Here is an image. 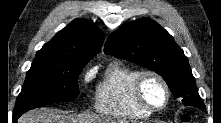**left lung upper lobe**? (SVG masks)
I'll return each mask as SVG.
<instances>
[{
    "label": "left lung upper lobe",
    "instance_id": "5c2ea615",
    "mask_svg": "<svg viewBox=\"0 0 221 123\" xmlns=\"http://www.w3.org/2000/svg\"><path fill=\"white\" fill-rule=\"evenodd\" d=\"M104 52L153 70L163 77L175 98H183L184 105L204 109L187 57L154 20L141 18L125 24L110 35Z\"/></svg>",
    "mask_w": 221,
    "mask_h": 123
}]
</instances>
